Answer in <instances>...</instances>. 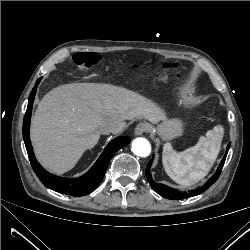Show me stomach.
<instances>
[{
	"label": "stomach",
	"instance_id": "stomach-1",
	"mask_svg": "<svg viewBox=\"0 0 250 250\" xmlns=\"http://www.w3.org/2000/svg\"><path fill=\"white\" fill-rule=\"evenodd\" d=\"M163 140H172L183 133V123L178 119H164L155 129Z\"/></svg>",
	"mask_w": 250,
	"mask_h": 250
}]
</instances>
